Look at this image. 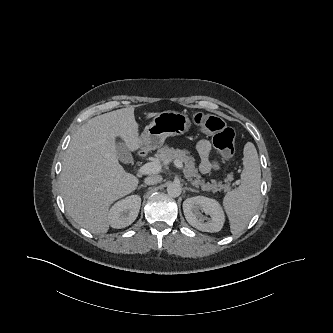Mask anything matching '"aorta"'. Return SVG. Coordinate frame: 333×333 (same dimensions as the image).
<instances>
[{"mask_svg": "<svg viewBox=\"0 0 333 333\" xmlns=\"http://www.w3.org/2000/svg\"><path fill=\"white\" fill-rule=\"evenodd\" d=\"M181 186L178 183H170L167 186V193L171 197H178L181 194Z\"/></svg>", "mask_w": 333, "mask_h": 333, "instance_id": "1", "label": "aorta"}]
</instances>
